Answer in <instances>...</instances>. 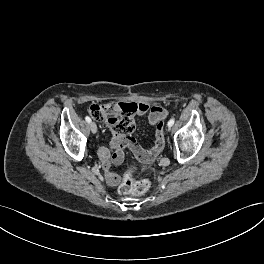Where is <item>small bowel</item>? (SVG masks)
Returning a JSON list of instances; mask_svg holds the SVG:
<instances>
[{
  "label": "small bowel",
  "instance_id": "c3829d8e",
  "mask_svg": "<svg viewBox=\"0 0 264 264\" xmlns=\"http://www.w3.org/2000/svg\"><path fill=\"white\" fill-rule=\"evenodd\" d=\"M138 115H148L150 125L157 126L163 122L168 112L165 108L158 105L147 103H135ZM130 149L134 155L144 163L151 162L162 150L163 144L154 145L148 149L142 148L133 137L113 131V136L108 146H102L98 150V156L102 162L105 177L109 185L116 186L119 183V176L111 169V165L121 164L124 159V149Z\"/></svg>",
  "mask_w": 264,
  "mask_h": 264
}]
</instances>
